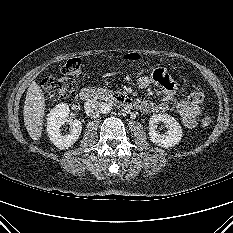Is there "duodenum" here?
<instances>
[{
  "mask_svg": "<svg viewBox=\"0 0 233 233\" xmlns=\"http://www.w3.org/2000/svg\"><path fill=\"white\" fill-rule=\"evenodd\" d=\"M80 98L86 102L109 100L126 109H131L136 106V103L127 95L102 88H84L80 92Z\"/></svg>",
  "mask_w": 233,
  "mask_h": 233,
  "instance_id": "obj_1",
  "label": "duodenum"
}]
</instances>
